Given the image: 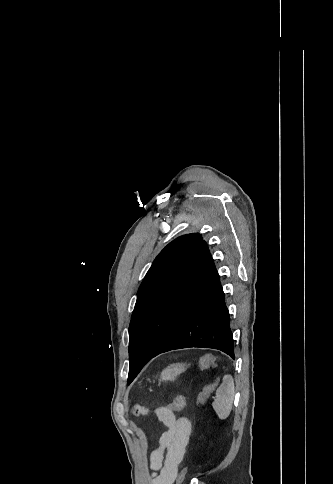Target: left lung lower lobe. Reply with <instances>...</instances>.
Returning <instances> with one entry per match:
<instances>
[{
	"mask_svg": "<svg viewBox=\"0 0 333 484\" xmlns=\"http://www.w3.org/2000/svg\"><path fill=\"white\" fill-rule=\"evenodd\" d=\"M229 319L219 275L205 243L151 313L131 364L144 366L161 353L189 347L218 349L234 359Z\"/></svg>",
	"mask_w": 333,
	"mask_h": 484,
	"instance_id": "0a47b994",
	"label": "left lung lower lobe"
}]
</instances>
